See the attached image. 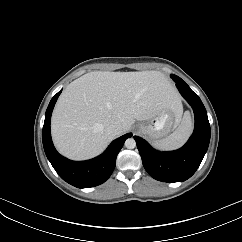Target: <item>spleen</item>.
<instances>
[{
    "label": "spleen",
    "instance_id": "obj_1",
    "mask_svg": "<svg viewBox=\"0 0 242 242\" xmlns=\"http://www.w3.org/2000/svg\"><path fill=\"white\" fill-rule=\"evenodd\" d=\"M191 132V118L189 115H185L176 130L166 138L155 141L154 146L163 150L179 148L186 142Z\"/></svg>",
    "mask_w": 242,
    "mask_h": 242
}]
</instances>
